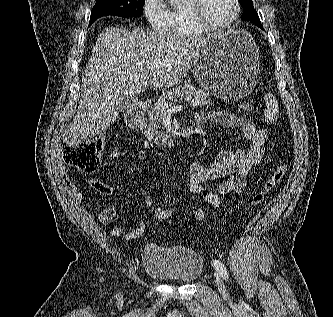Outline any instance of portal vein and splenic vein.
Instances as JSON below:
<instances>
[{"label": "portal vein and splenic vein", "instance_id": "obj_1", "mask_svg": "<svg viewBox=\"0 0 333 317\" xmlns=\"http://www.w3.org/2000/svg\"><path fill=\"white\" fill-rule=\"evenodd\" d=\"M153 66H158V64L154 63ZM183 108L182 105H177V106H173V107H167L164 110V115H170L173 112H177L180 111Z\"/></svg>", "mask_w": 333, "mask_h": 317}]
</instances>
